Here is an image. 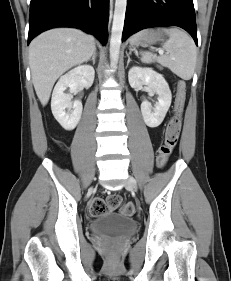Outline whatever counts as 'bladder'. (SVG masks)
<instances>
[{
	"label": "bladder",
	"mask_w": 231,
	"mask_h": 281,
	"mask_svg": "<svg viewBox=\"0 0 231 281\" xmlns=\"http://www.w3.org/2000/svg\"><path fill=\"white\" fill-rule=\"evenodd\" d=\"M90 231L98 236H130L137 230V222L124 214L106 212L96 216L89 224Z\"/></svg>",
	"instance_id": "bladder-1"
}]
</instances>
